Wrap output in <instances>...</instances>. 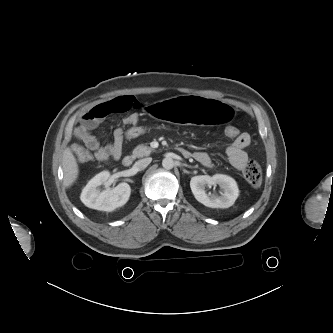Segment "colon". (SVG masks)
Listing matches in <instances>:
<instances>
[{"mask_svg": "<svg viewBox=\"0 0 333 333\" xmlns=\"http://www.w3.org/2000/svg\"><path fill=\"white\" fill-rule=\"evenodd\" d=\"M157 130L151 126L143 125L139 122L127 125L122 130V137L124 140H137L143 138L149 134L156 132ZM240 131L235 126H227L225 128V135L229 139H236L240 135ZM76 158L80 162H88L93 159V156L81 149H76L74 151ZM243 174L246 181L252 187H258L262 182V169L258 162L255 160H249L244 169Z\"/></svg>", "mask_w": 333, "mask_h": 333, "instance_id": "1", "label": "colon"}]
</instances>
